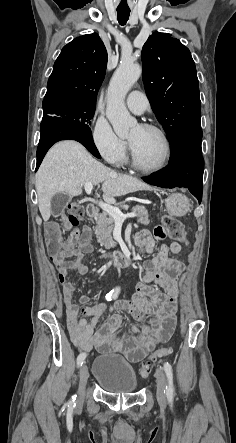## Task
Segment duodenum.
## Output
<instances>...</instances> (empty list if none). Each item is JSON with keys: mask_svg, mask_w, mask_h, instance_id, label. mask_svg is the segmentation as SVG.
I'll list each match as a JSON object with an SVG mask.
<instances>
[{"mask_svg": "<svg viewBox=\"0 0 236 443\" xmlns=\"http://www.w3.org/2000/svg\"><path fill=\"white\" fill-rule=\"evenodd\" d=\"M97 206L95 205V203L90 202L87 205V215L90 218H93L97 215ZM102 259L105 261H111L114 264L120 266V267H125L128 266L131 262H132V258L129 254H125V253H116V254H111V253H107V254H103L102 255Z\"/></svg>", "mask_w": 236, "mask_h": 443, "instance_id": "duodenum-1", "label": "duodenum"}]
</instances>
